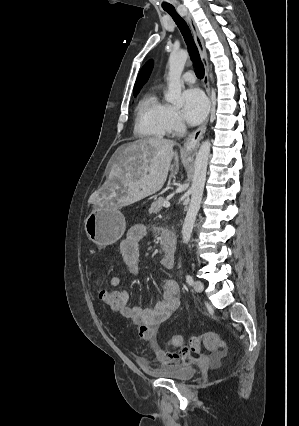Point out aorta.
<instances>
[{
    "mask_svg": "<svg viewBox=\"0 0 299 426\" xmlns=\"http://www.w3.org/2000/svg\"><path fill=\"white\" fill-rule=\"evenodd\" d=\"M187 58L188 52L186 50H180L171 53L168 61V92L165 95V99L176 107H182L184 105V99L181 94L183 87L181 75ZM210 149L211 143L209 140H206L202 142L196 154L193 182L191 186V201L182 227V239L185 244L190 241L196 216L200 209Z\"/></svg>",
    "mask_w": 299,
    "mask_h": 426,
    "instance_id": "762f6f07",
    "label": "aorta"
}]
</instances>
